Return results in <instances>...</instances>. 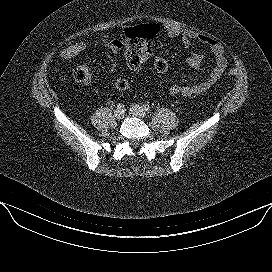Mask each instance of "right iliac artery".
I'll list each match as a JSON object with an SVG mask.
<instances>
[{"mask_svg":"<svg viewBox=\"0 0 272 272\" xmlns=\"http://www.w3.org/2000/svg\"><path fill=\"white\" fill-rule=\"evenodd\" d=\"M117 108L120 109V110H123L124 105H123L122 103H119V104L117 105Z\"/></svg>","mask_w":272,"mask_h":272,"instance_id":"1","label":"right iliac artery"}]
</instances>
